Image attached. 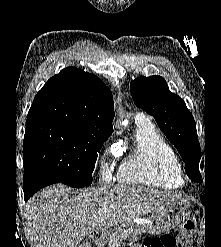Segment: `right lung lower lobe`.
Masks as SVG:
<instances>
[{
	"label": "right lung lower lobe",
	"mask_w": 221,
	"mask_h": 247,
	"mask_svg": "<svg viewBox=\"0 0 221 247\" xmlns=\"http://www.w3.org/2000/svg\"><path fill=\"white\" fill-rule=\"evenodd\" d=\"M55 183L61 182L33 164H24L23 189L25 200H28L41 188Z\"/></svg>",
	"instance_id": "1"
}]
</instances>
